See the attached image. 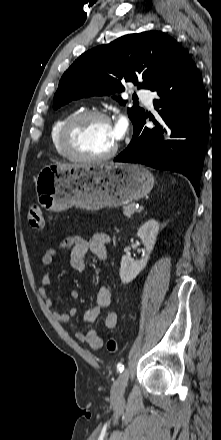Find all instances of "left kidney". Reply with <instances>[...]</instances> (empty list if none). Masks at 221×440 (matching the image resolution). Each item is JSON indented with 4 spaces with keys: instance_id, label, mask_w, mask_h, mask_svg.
Returning <instances> with one entry per match:
<instances>
[{
    "instance_id": "5707ae66",
    "label": "left kidney",
    "mask_w": 221,
    "mask_h": 440,
    "mask_svg": "<svg viewBox=\"0 0 221 440\" xmlns=\"http://www.w3.org/2000/svg\"><path fill=\"white\" fill-rule=\"evenodd\" d=\"M159 232V223L150 219L146 221L137 231V236L141 239L146 249V255L140 260H134L130 256L124 255L121 259L120 278L122 283H130L146 267L150 253L156 243Z\"/></svg>"
}]
</instances>
